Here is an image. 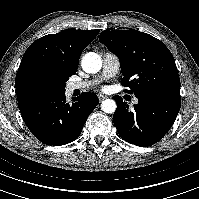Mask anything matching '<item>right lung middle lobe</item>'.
Segmentation results:
<instances>
[{"label":"right lung middle lobe","mask_w":199,"mask_h":199,"mask_svg":"<svg viewBox=\"0 0 199 199\" xmlns=\"http://www.w3.org/2000/svg\"><path fill=\"white\" fill-rule=\"evenodd\" d=\"M65 86V83L56 85L45 78L34 76L28 80L24 96L28 100L46 98L52 95L64 93Z\"/></svg>","instance_id":"obj_1"}]
</instances>
